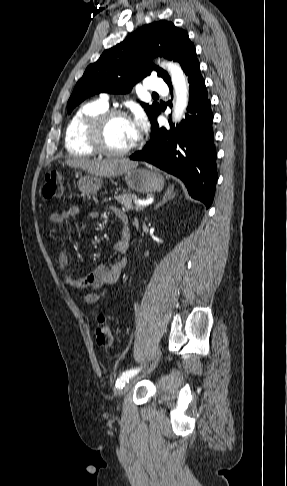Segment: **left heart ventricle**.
<instances>
[{"label":"left heart ventricle","mask_w":287,"mask_h":486,"mask_svg":"<svg viewBox=\"0 0 287 486\" xmlns=\"http://www.w3.org/2000/svg\"><path fill=\"white\" fill-rule=\"evenodd\" d=\"M106 145L114 150L124 149L135 142L132 123L129 119H114L104 135Z\"/></svg>","instance_id":"1"}]
</instances>
